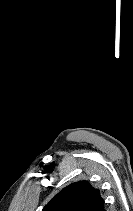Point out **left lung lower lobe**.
I'll use <instances>...</instances> for the list:
<instances>
[{"mask_svg":"<svg viewBox=\"0 0 133 211\" xmlns=\"http://www.w3.org/2000/svg\"><path fill=\"white\" fill-rule=\"evenodd\" d=\"M98 211H105V209H104V205H103V206H101V207L98 209Z\"/></svg>","mask_w":133,"mask_h":211,"instance_id":"0a47b994","label":"left lung lower lobe"}]
</instances>
